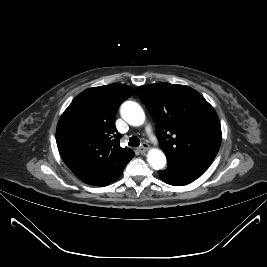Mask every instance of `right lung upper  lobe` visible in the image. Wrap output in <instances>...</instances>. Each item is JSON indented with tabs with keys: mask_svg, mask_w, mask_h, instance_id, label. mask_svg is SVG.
<instances>
[{
	"mask_svg": "<svg viewBox=\"0 0 267 267\" xmlns=\"http://www.w3.org/2000/svg\"><path fill=\"white\" fill-rule=\"evenodd\" d=\"M133 88L109 84L81 92L62 114L56 141L65 164L83 182L98 186L119 173L134 157L121 148L115 115Z\"/></svg>",
	"mask_w": 267,
	"mask_h": 267,
	"instance_id": "obj_1",
	"label": "right lung upper lobe"
}]
</instances>
